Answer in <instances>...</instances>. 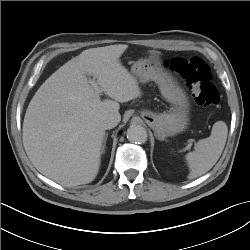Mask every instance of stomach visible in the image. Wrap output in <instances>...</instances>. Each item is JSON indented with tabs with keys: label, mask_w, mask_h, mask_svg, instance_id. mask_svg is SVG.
I'll list each match as a JSON object with an SVG mask.
<instances>
[{
	"label": "stomach",
	"mask_w": 250,
	"mask_h": 250,
	"mask_svg": "<svg viewBox=\"0 0 250 250\" xmlns=\"http://www.w3.org/2000/svg\"><path fill=\"white\" fill-rule=\"evenodd\" d=\"M131 71L142 83L155 81L161 95L172 105L168 113L141 111V117L153 129L157 139L164 140L184 131L189 123V101L184 90L163 71L159 55L153 53L139 59L133 64Z\"/></svg>",
	"instance_id": "obj_1"
}]
</instances>
